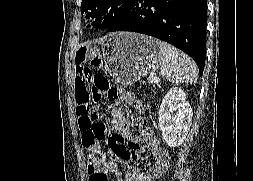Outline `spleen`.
I'll list each match as a JSON object with an SVG mask.
<instances>
[{
  "label": "spleen",
  "mask_w": 253,
  "mask_h": 181,
  "mask_svg": "<svg viewBox=\"0 0 253 181\" xmlns=\"http://www.w3.org/2000/svg\"><path fill=\"white\" fill-rule=\"evenodd\" d=\"M161 73L173 83H196L198 68L196 63L185 53L172 45L160 41Z\"/></svg>",
  "instance_id": "1"
}]
</instances>
